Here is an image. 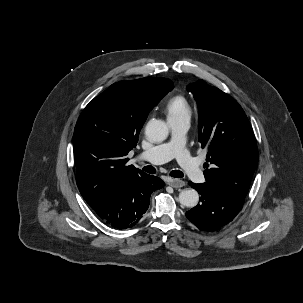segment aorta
I'll return each instance as SVG.
<instances>
[{"label":"aorta","mask_w":303,"mask_h":303,"mask_svg":"<svg viewBox=\"0 0 303 303\" xmlns=\"http://www.w3.org/2000/svg\"><path fill=\"white\" fill-rule=\"evenodd\" d=\"M169 130L165 122L152 119L145 127L147 139L151 142H162L168 136ZM178 200L181 205L193 208L198 204L199 194L195 189H184L179 193Z\"/></svg>","instance_id":"aorta-1"}]
</instances>
